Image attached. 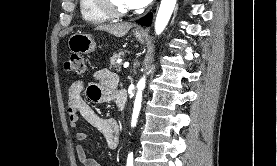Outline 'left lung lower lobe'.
<instances>
[{
    "label": "left lung lower lobe",
    "instance_id": "0a47b994",
    "mask_svg": "<svg viewBox=\"0 0 277 166\" xmlns=\"http://www.w3.org/2000/svg\"><path fill=\"white\" fill-rule=\"evenodd\" d=\"M152 21V13L147 14L145 17L137 21V23L145 26H149Z\"/></svg>",
    "mask_w": 277,
    "mask_h": 166
}]
</instances>
